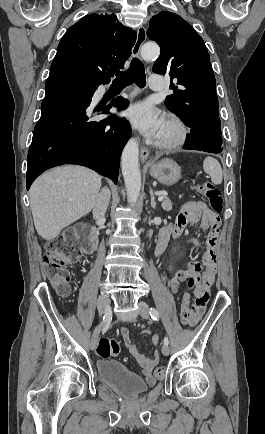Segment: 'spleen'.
Listing matches in <instances>:
<instances>
[{"label":"spleen","mask_w":265,"mask_h":434,"mask_svg":"<svg viewBox=\"0 0 265 434\" xmlns=\"http://www.w3.org/2000/svg\"><path fill=\"white\" fill-rule=\"evenodd\" d=\"M203 170L206 172V174H209L213 184H221L223 180V174L221 166L217 160H214V158H210V156H208V158L204 160Z\"/></svg>","instance_id":"spleen-1"}]
</instances>
